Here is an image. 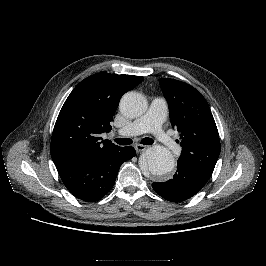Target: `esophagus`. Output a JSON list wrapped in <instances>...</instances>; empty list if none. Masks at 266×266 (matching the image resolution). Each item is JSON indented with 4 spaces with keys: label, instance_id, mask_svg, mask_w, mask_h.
Instances as JSON below:
<instances>
[{
    "label": "esophagus",
    "instance_id": "esophagus-1",
    "mask_svg": "<svg viewBox=\"0 0 266 266\" xmlns=\"http://www.w3.org/2000/svg\"><path fill=\"white\" fill-rule=\"evenodd\" d=\"M134 148H135L136 152H142V151L146 150V146L145 145H141V144H136L134 146Z\"/></svg>",
    "mask_w": 266,
    "mask_h": 266
}]
</instances>
